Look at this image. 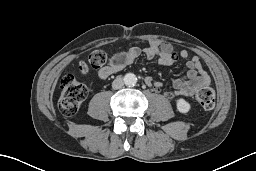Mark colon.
I'll return each instance as SVG.
<instances>
[{
  "label": "colon",
  "mask_w": 256,
  "mask_h": 171,
  "mask_svg": "<svg viewBox=\"0 0 256 171\" xmlns=\"http://www.w3.org/2000/svg\"><path fill=\"white\" fill-rule=\"evenodd\" d=\"M105 62V53L101 50H94L89 54L87 60L80 64V72L83 75H87L91 68H99ZM59 90V107L61 112L66 116L74 115L89 93L88 87L78 81L73 75H66L61 79ZM195 97L205 109H212L215 106L216 95L211 84L199 88L196 91Z\"/></svg>",
  "instance_id": "1"
}]
</instances>
